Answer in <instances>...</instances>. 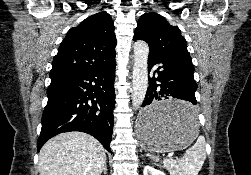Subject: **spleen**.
Masks as SVG:
<instances>
[{"mask_svg":"<svg viewBox=\"0 0 251 175\" xmlns=\"http://www.w3.org/2000/svg\"><path fill=\"white\" fill-rule=\"evenodd\" d=\"M185 123L194 119L193 111H184ZM206 141L204 135H199L196 143L186 149L182 159H164L170 175H198L205 159H206Z\"/></svg>","mask_w":251,"mask_h":175,"instance_id":"3e777b00","label":"spleen"}]
</instances>
